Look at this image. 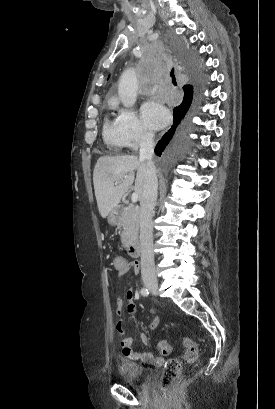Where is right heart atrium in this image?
Wrapping results in <instances>:
<instances>
[{
  "mask_svg": "<svg viewBox=\"0 0 275 409\" xmlns=\"http://www.w3.org/2000/svg\"><path fill=\"white\" fill-rule=\"evenodd\" d=\"M116 122L120 128L124 145L131 153L152 140L154 136L151 126L132 110H121Z\"/></svg>",
  "mask_w": 275,
  "mask_h": 409,
  "instance_id": "1",
  "label": "right heart atrium"
}]
</instances>
